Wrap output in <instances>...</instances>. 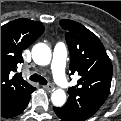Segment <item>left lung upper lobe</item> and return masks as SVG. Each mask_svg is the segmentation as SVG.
I'll return each mask as SVG.
<instances>
[{
    "mask_svg": "<svg viewBox=\"0 0 121 121\" xmlns=\"http://www.w3.org/2000/svg\"><path fill=\"white\" fill-rule=\"evenodd\" d=\"M67 30L71 74H78V84L69 88L68 101L62 109L74 120L84 121L97 112L109 95L112 64L99 38L83 25L60 20Z\"/></svg>",
    "mask_w": 121,
    "mask_h": 121,
    "instance_id": "obj_1",
    "label": "left lung upper lobe"
}]
</instances>
